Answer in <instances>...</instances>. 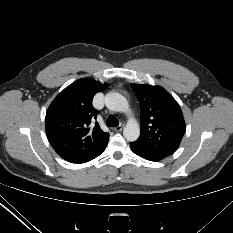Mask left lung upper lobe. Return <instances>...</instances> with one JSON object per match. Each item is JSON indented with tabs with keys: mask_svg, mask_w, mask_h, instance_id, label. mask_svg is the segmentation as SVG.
<instances>
[{
	"mask_svg": "<svg viewBox=\"0 0 233 233\" xmlns=\"http://www.w3.org/2000/svg\"><path fill=\"white\" fill-rule=\"evenodd\" d=\"M131 86L141 107V134L137 141L154 151L172 154L185 133L179 104L160 86Z\"/></svg>",
	"mask_w": 233,
	"mask_h": 233,
	"instance_id": "obj_1",
	"label": "left lung upper lobe"
}]
</instances>
